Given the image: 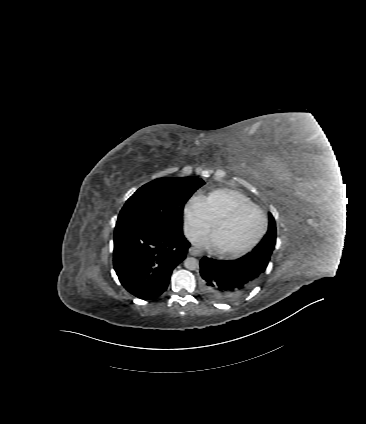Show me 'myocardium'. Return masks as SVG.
Segmentation results:
<instances>
[{"instance_id": "obj_1", "label": "myocardium", "mask_w": 366, "mask_h": 424, "mask_svg": "<svg viewBox=\"0 0 366 424\" xmlns=\"http://www.w3.org/2000/svg\"><path fill=\"white\" fill-rule=\"evenodd\" d=\"M249 209H254V210L258 211L262 216L263 224H262V228H261L260 233L249 245L245 246L244 248L238 249V250H228V249L216 247V250L220 255L225 256V257H240V256L245 255L248 252L252 251L264 238V236L267 232V228H268V218H267L265 211L260 206H258L256 204L240 205V206L234 208L233 210H231L230 212H228L227 214H225L224 216L217 219L214 222L213 227H212V232H211L212 237L214 236V233L216 232V230L220 226L233 221L238 215H240L242 212L249 210Z\"/></svg>"}]
</instances>
